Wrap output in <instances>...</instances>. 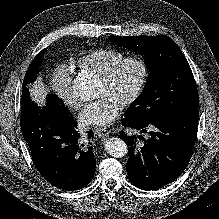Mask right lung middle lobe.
Returning a JSON list of instances; mask_svg holds the SVG:
<instances>
[{"instance_id":"dd1d6c3e","label":"right lung middle lobe","mask_w":219,"mask_h":219,"mask_svg":"<svg viewBox=\"0 0 219 219\" xmlns=\"http://www.w3.org/2000/svg\"><path fill=\"white\" fill-rule=\"evenodd\" d=\"M45 51L46 49H43L31 62V65L29 66L23 81V88L26 87L27 84L33 82L36 79L37 73L39 72V68L41 65V58L45 53ZM46 105L55 108L61 113L69 114V111L66 110L65 105L55 94L48 95Z\"/></svg>"}]
</instances>
